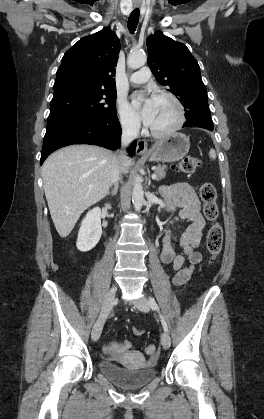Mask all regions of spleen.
<instances>
[{"mask_svg":"<svg viewBox=\"0 0 264 419\" xmlns=\"http://www.w3.org/2000/svg\"><path fill=\"white\" fill-rule=\"evenodd\" d=\"M209 157H210L211 159H213V160H215V159H216V152H215V150H214V149H210V151H209Z\"/></svg>","mask_w":264,"mask_h":419,"instance_id":"spleen-1","label":"spleen"}]
</instances>
